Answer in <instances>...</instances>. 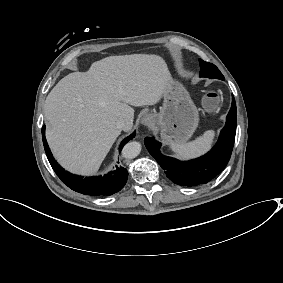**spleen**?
<instances>
[{"label": "spleen", "mask_w": 283, "mask_h": 283, "mask_svg": "<svg viewBox=\"0 0 283 283\" xmlns=\"http://www.w3.org/2000/svg\"><path fill=\"white\" fill-rule=\"evenodd\" d=\"M214 136L215 132L213 130H208L203 136L198 137L192 142H175L172 143L170 147L172 151L176 153L177 157L183 159L194 158L204 154L210 149Z\"/></svg>", "instance_id": "obj_1"}]
</instances>
